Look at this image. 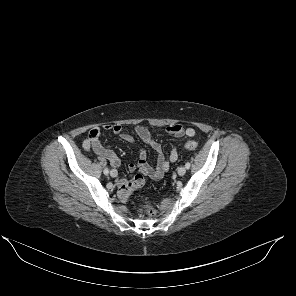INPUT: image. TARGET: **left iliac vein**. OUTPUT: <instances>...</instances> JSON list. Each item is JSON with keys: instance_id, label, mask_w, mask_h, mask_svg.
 Wrapping results in <instances>:
<instances>
[{"instance_id": "4c4485c4", "label": "left iliac vein", "mask_w": 296, "mask_h": 296, "mask_svg": "<svg viewBox=\"0 0 296 296\" xmlns=\"http://www.w3.org/2000/svg\"><path fill=\"white\" fill-rule=\"evenodd\" d=\"M177 172L180 176H183L186 173V167L184 166L179 167Z\"/></svg>"}]
</instances>
